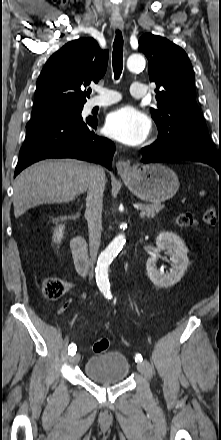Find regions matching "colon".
I'll list each match as a JSON object with an SVG mask.
<instances>
[{"instance_id":"colon-1","label":"colon","mask_w":221,"mask_h":440,"mask_svg":"<svg viewBox=\"0 0 221 440\" xmlns=\"http://www.w3.org/2000/svg\"><path fill=\"white\" fill-rule=\"evenodd\" d=\"M216 219L214 210L208 209L202 216V223L211 225ZM176 222L180 227H194L197 226L200 221L197 215L193 212H183L177 215ZM67 289L66 283L57 277H48L43 282V293L47 298L55 299L62 296ZM110 340L108 338H100L93 344V351L95 353H103L110 347Z\"/></svg>"}]
</instances>
